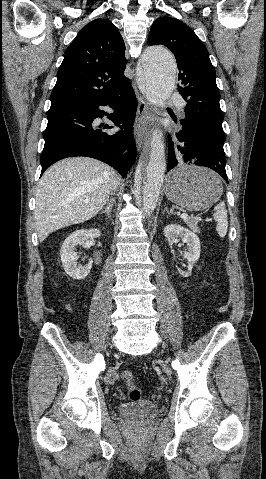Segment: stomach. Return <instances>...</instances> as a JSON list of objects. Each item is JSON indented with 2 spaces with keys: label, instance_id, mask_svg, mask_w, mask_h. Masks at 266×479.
<instances>
[{
  "label": "stomach",
  "instance_id": "obj_1",
  "mask_svg": "<svg viewBox=\"0 0 266 479\" xmlns=\"http://www.w3.org/2000/svg\"><path fill=\"white\" fill-rule=\"evenodd\" d=\"M223 192L220 178L196 165H181L171 171L165 185L166 197L189 210L202 211L219 200Z\"/></svg>",
  "mask_w": 266,
  "mask_h": 479
}]
</instances>
